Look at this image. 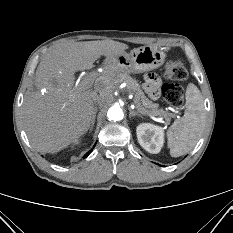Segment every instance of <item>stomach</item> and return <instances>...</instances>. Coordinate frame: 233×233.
I'll return each mask as SVG.
<instances>
[{"mask_svg":"<svg viewBox=\"0 0 233 233\" xmlns=\"http://www.w3.org/2000/svg\"><path fill=\"white\" fill-rule=\"evenodd\" d=\"M166 53L155 46H143L130 53L122 52L116 57L106 60L111 68H118L127 73H143L163 65Z\"/></svg>","mask_w":233,"mask_h":233,"instance_id":"stomach-1","label":"stomach"}]
</instances>
